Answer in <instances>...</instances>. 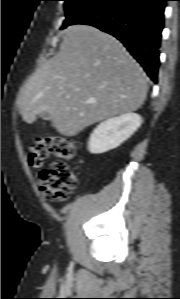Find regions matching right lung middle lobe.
Returning a JSON list of instances; mask_svg holds the SVG:
<instances>
[{"instance_id":"obj_1","label":"right lung middle lobe","mask_w":180,"mask_h":299,"mask_svg":"<svg viewBox=\"0 0 180 299\" xmlns=\"http://www.w3.org/2000/svg\"><path fill=\"white\" fill-rule=\"evenodd\" d=\"M66 19L61 29L66 28L77 20L82 14L90 10L103 0H64Z\"/></svg>"}]
</instances>
